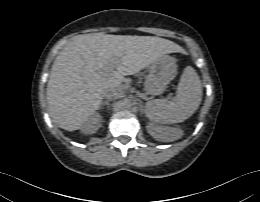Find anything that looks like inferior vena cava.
<instances>
[{
	"instance_id": "inferior-vena-cava-1",
	"label": "inferior vena cava",
	"mask_w": 260,
	"mask_h": 202,
	"mask_svg": "<svg viewBox=\"0 0 260 202\" xmlns=\"http://www.w3.org/2000/svg\"><path fill=\"white\" fill-rule=\"evenodd\" d=\"M123 96V90L120 87H113L105 91L104 97L108 100L119 99Z\"/></svg>"
}]
</instances>
